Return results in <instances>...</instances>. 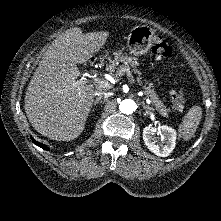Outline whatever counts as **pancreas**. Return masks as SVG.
Instances as JSON below:
<instances>
[{
    "instance_id": "pancreas-1",
    "label": "pancreas",
    "mask_w": 221,
    "mask_h": 221,
    "mask_svg": "<svg viewBox=\"0 0 221 221\" xmlns=\"http://www.w3.org/2000/svg\"><path fill=\"white\" fill-rule=\"evenodd\" d=\"M122 62L124 65L119 66V63ZM138 65V62L134 57H129L122 52H116L114 53V59H109L108 64L106 66V70L114 77L118 78L120 75V70L125 69L128 70V67L132 68V71L134 73H137L139 77L137 78V81L142 84L141 82V72L136 69V66ZM116 72V74H114ZM132 80L134 81L133 77ZM143 89L145 90V95L151 100L152 104L156 107V110L163 116H167L169 112V108H167L161 100H159V97L156 93V91L153 89V85L150 83L148 86H143Z\"/></svg>"
}]
</instances>
